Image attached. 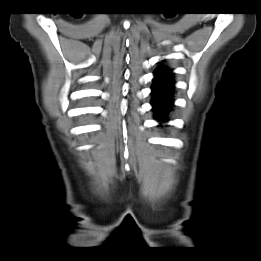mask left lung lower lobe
<instances>
[{"label":"left lung lower lobe","instance_id":"1","mask_svg":"<svg viewBox=\"0 0 261 261\" xmlns=\"http://www.w3.org/2000/svg\"><path fill=\"white\" fill-rule=\"evenodd\" d=\"M154 77L151 104L157 121L166 122L168 120V113L173 107V73L169 68L159 67L154 72Z\"/></svg>","mask_w":261,"mask_h":261}]
</instances>
